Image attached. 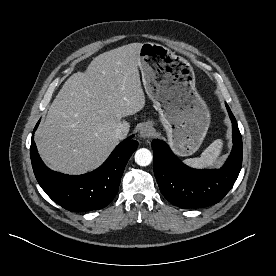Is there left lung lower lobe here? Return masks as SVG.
Here are the masks:
<instances>
[{"mask_svg": "<svg viewBox=\"0 0 276 276\" xmlns=\"http://www.w3.org/2000/svg\"><path fill=\"white\" fill-rule=\"evenodd\" d=\"M233 129V148L218 170H197L184 165L168 145L153 140V169L163 196L180 208H202L218 203L234 185L242 165V138L226 104Z\"/></svg>", "mask_w": 276, "mask_h": 276, "instance_id": "0a47b994", "label": "left lung lower lobe"}]
</instances>
